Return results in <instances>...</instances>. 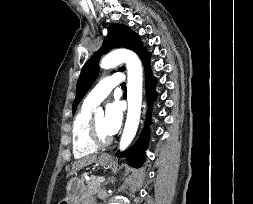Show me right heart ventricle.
Returning a JSON list of instances; mask_svg holds the SVG:
<instances>
[{
  "mask_svg": "<svg viewBox=\"0 0 253 204\" xmlns=\"http://www.w3.org/2000/svg\"><path fill=\"white\" fill-rule=\"evenodd\" d=\"M93 109V107L83 104L73 121L72 145L76 158L92 155L98 149V146L93 143L89 134V125Z\"/></svg>",
  "mask_w": 253,
  "mask_h": 204,
  "instance_id": "obj_1",
  "label": "right heart ventricle"
}]
</instances>
